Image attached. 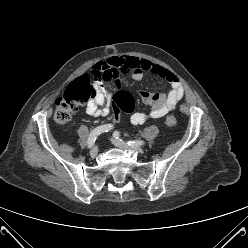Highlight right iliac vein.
I'll list each match as a JSON object with an SVG mask.
<instances>
[{"label":"right iliac vein","mask_w":248,"mask_h":248,"mask_svg":"<svg viewBox=\"0 0 248 248\" xmlns=\"http://www.w3.org/2000/svg\"><path fill=\"white\" fill-rule=\"evenodd\" d=\"M98 154V147L94 146L91 150H90V156L91 157H95Z\"/></svg>","instance_id":"63e3f726"}]
</instances>
